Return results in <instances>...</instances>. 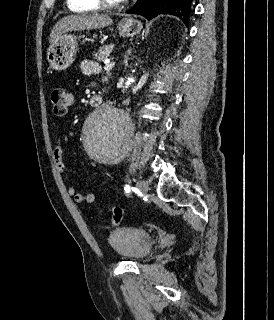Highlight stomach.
<instances>
[{
    "label": "stomach",
    "mask_w": 274,
    "mask_h": 320,
    "mask_svg": "<svg viewBox=\"0 0 274 320\" xmlns=\"http://www.w3.org/2000/svg\"><path fill=\"white\" fill-rule=\"evenodd\" d=\"M143 26L134 18H123L118 26V32L123 38H133L141 32ZM78 36L62 34L55 44H51L47 52V60L52 70H66L73 64L78 48Z\"/></svg>",
    "instance_id": "obj_1"
}]
</instances>
